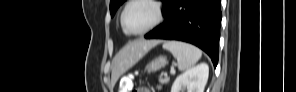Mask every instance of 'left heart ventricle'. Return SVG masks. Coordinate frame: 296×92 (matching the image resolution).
Instances as JSON below:
<instances>
[{"label": "left heart ventricle", "instance_id": "obj_1", "mask_svg": "<svg viewBox=\"0 0 296 92\" xmlns=\"http://www.w3.org/2000/svg\"><path fill=\"white\" fill-rule=\"evenodd\" d=\"M155 10L145 2H136L129 6L125 13V25L129 31H141L155 20Z\"/></svg>", "mask_w": 296, "mask_h": 92}]
</instances>
